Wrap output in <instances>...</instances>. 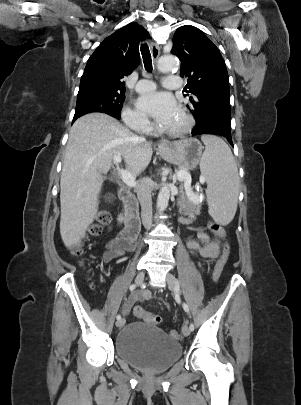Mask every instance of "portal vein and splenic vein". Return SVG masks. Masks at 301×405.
I'll return each instance as SVG.
<instances>
[{"instance_id":"obj_1","label":"portal vein and splenic vein","mask_w":301,"mask_h":405,"mask_svg":"<svg viewBox=\"0 0 301 405\" xmlns=\"http://www.w3.org/2000/svg\"><path fill=\"white\" fill-rule=\"evenodd\" d=\"M121 160H122V158H121L120 155H116L113 158V161H114L115 164H119L121 162ZM118 172H119V176L121 177L122 181L127 186H129V187H135L136 186L135 177L130 172H128L127 170H124V169H120V168H118ZM176 176H177V179L179 181H185V183H188V184L191 183V175L186 171H178L176 173ZM200 181L202 183L203 179H201ZM186 193H187L188 197L192 201H194L196 203H199L201 201V198L197 194H195L191 190V188H187Z\"/></svg>"}]
</instances>
